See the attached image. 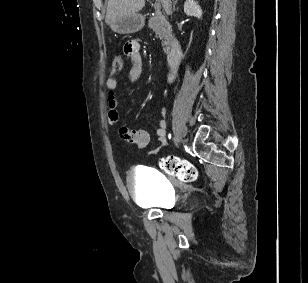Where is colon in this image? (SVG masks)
<instances>
[{"label": "colon", "instance_id": "5ec220e1", "mask_svg": "<svg viewBox=\"0 0 308 283\" xmlns=\"http://www.w3.org/2000/svg\"><path fill=\"white\" fill-rule=\"evenodd\" d=\"M122 67H123L122 58L120 56L114 57L112 62L113 73L119 72L122 69ZM161 166L166 173L178 178L181 181L192 182L197 178V171L195 167L190 162L180 159L178 157L175 156L165 157L161 161Z\"/></svg>", "mask_w": 308, "mask_h": 283}]
</instances>
